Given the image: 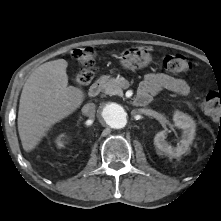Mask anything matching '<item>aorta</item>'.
Returning <instances> with one entry per match:
<instances>
[{
  "label": "aorta",
  "instance_id": "1",
  "mask_svg": "<svg viewBox=\"0 0 221 221\" xmlns=\"http://www.w3.org/2000/svg\"><path fill=\"white\" fill-rule=\"evenodd\" d=\"M102 120L112 128L121 129L127 124V112L117 103L106 104L101 111Z\"/></svg>",
  "mask_w": 221,
  "mask_h": 221
}]
</instances>
